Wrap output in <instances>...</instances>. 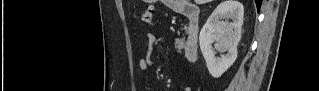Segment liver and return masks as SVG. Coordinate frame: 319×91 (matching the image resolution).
Instances as JSON below:
<instances>
[{"label":"liver","instance_id":"liver-1","mask_svg":"<svg viewBox=\"0 0 319 91\" xmlns=\"http://www.w3.org/2000/svg\"><path fill=\"white\" fill-rule=\"evenodd\" d=\"M211 0H195L196 4H205L207 2H210Z\"/></svg>","mask_w":319,"mask_h":91}]
</instances>
